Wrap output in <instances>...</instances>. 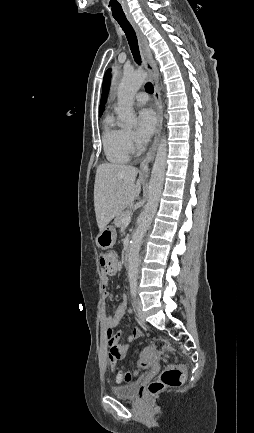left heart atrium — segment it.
Here are the masks:
<instances>
[{
    "label": "left heart atrium",
    "instance_id": "1",
    "mask_svg": "<svg viewBox=\"0 0 254 433\" xmlns=\"http://www.w3.org/2000/svg\"><path fill=\"white\" fill-rule=\"evenodd\" d=\"M156 126V115L150 108H144L138 113V133L144 138L150 137Z\"/></svg>",
    "mask_w": 254,
    "mask_h": 433
}]
</instances>
